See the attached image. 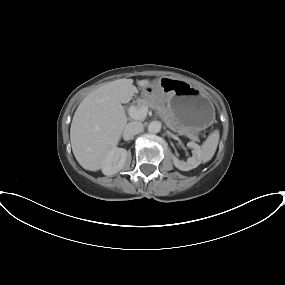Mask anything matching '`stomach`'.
Listing matches in <instances>:
<instances>
[{
	"label": "stomach",
	"instance_id": "1",
	"mask_svg": "<svg viewBox=\"0 0 285 285\" xmlns=\"http://www.w3.org/2000/svg\"><path fill=\"white\" fill-rule=\"evenodd\" d=\"M144 98L167 103L176 128L196 133L209 127L215 119L210 99L191 84L162 77L142 89Z\"/></svg>",
	"mask_w": 285,
	"mask_h": 285
}]
</instances>
